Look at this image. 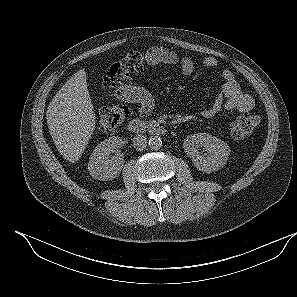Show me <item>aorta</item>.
<instances>
[{"mask_svg": "<svg viewBox=\"0 0 297 297\" xmlns=\"http://www.w3.org/2000/svg\"><path fill=\"white\" fill-rule=\"evenodd\" d=\"M149 146L153 150H158L162 147V139L159 136H152L149 139Z\"/></svg>", "mask_w": 297, "mask_h": 297, "instance_id": "obj_1", "label": "aorta"}]
</instances>
